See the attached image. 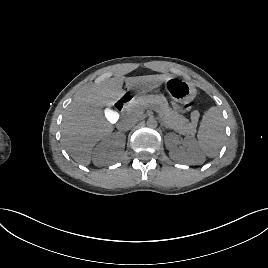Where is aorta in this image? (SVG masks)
Returning <instances> with one entry per match:
<instances>
[{
  "label": "aorta",
  "instance_id": "762f6f07",
  "mask_svg": "<svg viewBox=\"0 0 268 268\" xmlns=\"http://www.w3.org/2000/svg\"><path fill=\"white\" fill-rule=\"evenodd\" d=\"M146 125L149 127V128H156L158 126V122L156 120V118L154 117H149L146 121Z\"/></svg>",
  "mask_w": 268,
  "mask_h": 268
}]
</instances>
